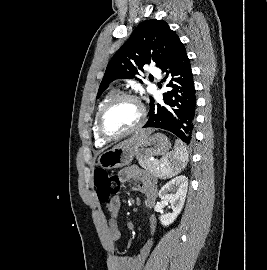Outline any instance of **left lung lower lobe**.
<instances>
[{
	"instance_id": "1",
	"label": "left lung lower lobe",
	"mask_w": 267,
	"mask_h": 270,
	"mask_svg": "<svg viewBox=\"0 0 267 270\" xmlns=\"http://www.w3.org/2000/svg\"><path fill=\"white\" fill-rule=\"evenodd\" d=\"M166 73L170 91L163 94L162 103H150L149 120L144 128H161L175 134L184 145L193 141L196 96L191 65L185 47L179 41L161 68Z\"/></svg>"
}]
</instances>
